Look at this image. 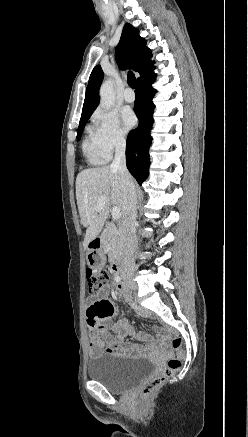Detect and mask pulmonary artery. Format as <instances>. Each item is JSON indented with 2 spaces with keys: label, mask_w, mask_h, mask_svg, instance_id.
Masks as SVG:
<instances>
[{
  "label": "pulmonary artery",
  "mask_w": 248,
  "mask_h": 437,
  "mask_svg": "<svg viewBox=\"0 0 248 437\" xmlns=\"http://www.w3.org/2000/svg\"><path fill=\"white\" fill-rule=\"evenodd\" d=\"M123 97L126 102H133L135 100V95L130 88L125 89Z\"/></svg>",
  "instance_id": "e3ab8cb5"
}]
</instances>
